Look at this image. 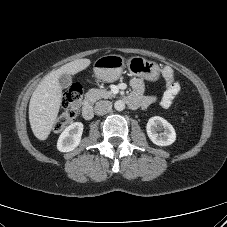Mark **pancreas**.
I'll return each mask as SVG.
<instances>
[{"label": "pancreas", "mask_w": 227, "mask_h": 227, "mask_svg": "<svg viewBox=\"0 0 227 227\" xmlns=\"http://www.w3.org/2000/svg\"><path fill=\"white\" fill-rule=\"evenodd\" d=\"M115 97L111 91L106 89H90L86 94L85 98L87 101L91 103H95L96 101L103 98H112Z\"/></svg>", "instance_id": "pancreas-1"}]
</instances>
